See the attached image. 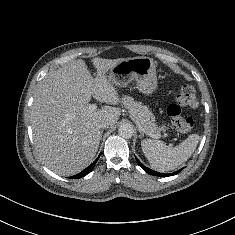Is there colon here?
<instances>
[{"instance_id": "obj_1", "label": "colon", "mask_w": 235, "mask_h": 235, "mask_svg": "<svg viewBox=\"0 0 235 235\" xmlns=\"http://www.w3.org/2000/svg\"><path fill=\"white\" fill-rule=\"evenodd\" d=\"M198 99L193 87L185 85L180 88L175 101L167 108L173 127L181 132L187 133L193 127V119L183 113L182 108L195 109L198 107Z\"/></svg>"}]
</instances>
